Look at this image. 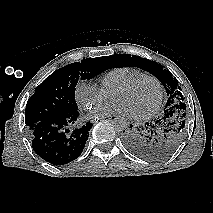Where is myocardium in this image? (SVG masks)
<instances>
[{"mask_svg":"<svg viewBox=\"0 0 213 213\" xmlns=\"http://www.w3.org/2000/svg\"><path fill=\"white\" fill-rule=\"evenodd\" d=\"M147 80L153 81L157 85L158 99H157L155 105L150 110H148L142 114H132L131 115L132 118H134L136 120H146V119L152 117L153 115H155L159 111V109L162 105L163 99H164V87H163L162 82L153 75H143V76L137 77V78L117 87L114 90V92L129 90Z\"/></svg>","mask_w":213,"mask_h":213,"instance_id":"obj_1","label":"myocardium"}]
</instances>
